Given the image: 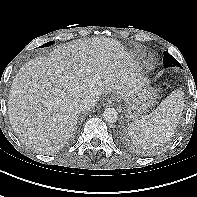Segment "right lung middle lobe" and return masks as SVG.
<instances>
[{
	"label": "right lung middle lobe",
	"instance_id": "1",
	"mask_svg": "<svg viewBox=\"0 0 197 197\" xmlns=\"http://www.w3.org/2000/svg\"><path fill=\"white\" fill-rule=\"evenodd\" d=\"M52 44H54V41H50V42H48V43L42 45L41 47H48V46H50V45H52Z\"/></svg>",
	"mask_w": 197,
	"mask_h": 197
}]
</instances>
